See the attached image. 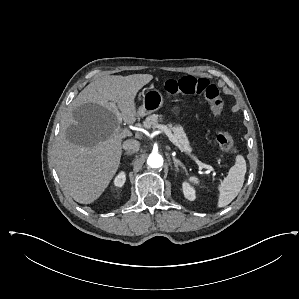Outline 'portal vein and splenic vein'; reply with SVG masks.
<instances>
[{
    "label": "portal vein and splenic vein",
    "mask_w": 299,
    "mask_h": 299,
    "mask_svg": "<svg viewBox=\"0 0 299 299\" xmlns=\"http://www.w3.org/2000/svg\"><path fill=\"white\" fill-rule=\"evenodd\" d=\"M110 106L115 110L116 112V115L118 116L119 118V121L121 122V118H120V113L118 112L117 110V106L115 103H110ZM157 128H159L160 130H162L169 138V140L174 144L176 145L180 150H182L180 144L178 143L177 139L174 137V135L171 133V131L167 128V126L165 125H157ZM197 164L199 165V168H206V169H209L210 171H213V167L210 166V165H206V164H203L202 162L196 160Z\"/></svg>",
    "instance_id": "obj_1"
}]
</instances>
